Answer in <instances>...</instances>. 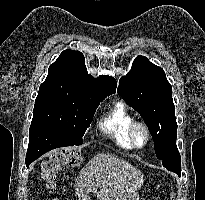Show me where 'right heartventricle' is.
Returning a JSON list of instances; mask_svg holds the SVG:
<instances>
[{
  "instance_id": "right-heart-ventricle-1",
  "label": "right heart ventricle",
  "mask_w": 205,
  "mask_h": 200,
  "mask_svg": "<svg viewBox=\"0 0 205 200\" xmlns=\"http://www.w3.org/2000/svg\"><path fill=\"white\" fill-rule=\"evenodd\" d=\"M133 122H135V118L125 103L116 101L99 121V127L119 147L132 149L128 131Z\"/></svg>"
}]
</instances>
